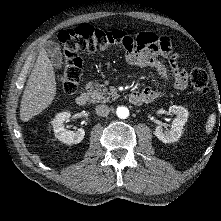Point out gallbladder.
I'll return each mask as SVG.
<instances>
[{"label": "gallbladder", "instance_id": "1", "mask_svg": "<svg viewBox=\"0 0 221 221\" xmlns=\"http://www.w3.org/2000/svg\"><path fill=\"white\" fill-rule=\"evenodd\" d=\"M47 55L51 58L52 64L55 68L60 69L63 65V57L60 51V45L57 42L48 41L45 44Z\"/></svg>", "mask_w": 221, "mask_h": 221}]
</instances>
